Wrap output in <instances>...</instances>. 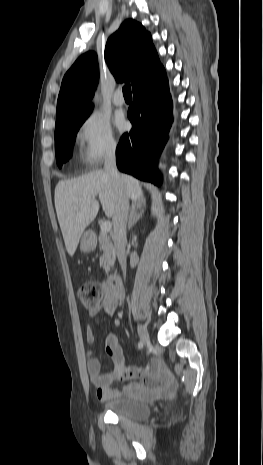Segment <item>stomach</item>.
<instances>
[{
    "label": "stomach",
    "instance_id": "1",
    "mask_svg": "<svg viewBox=\"0 0 263 465\" xmlns=\"http://www.w3.org/2000/svg\"><path fill=\"white\" fill-rule=\"evenodd\" d=\"M96 247V238L90 231L85 232L81 238L80 250L83 253H89Z\"/></svg>",
    "mask_w": 263,
    "mask_h": 465
}]
</instances>
